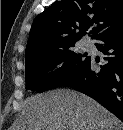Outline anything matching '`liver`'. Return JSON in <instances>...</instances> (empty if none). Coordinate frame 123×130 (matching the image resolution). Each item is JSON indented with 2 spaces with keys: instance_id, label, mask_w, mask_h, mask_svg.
I'll list each match as a JSON object with an SVG mask.
<instances>
[{
  "instance_id": "6515ba94",
  "label": "liver",
  "mask_w": 123,
  "mask_h": 130,
  "mask_svg": "<svg viewBox=\"0 0 123 130\" xmlns=\"http://www.w3.org/2000/svg\"><path fill=\"white\" fill-rule=\"evenodd\" d=\"M12 130H122L112 113L90 97L69 89L31 96L21 103Z\"/></svg>"
}]
</instances>
